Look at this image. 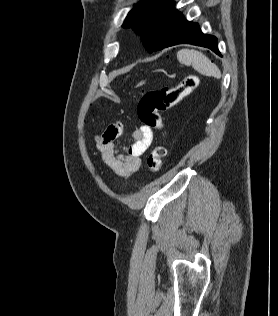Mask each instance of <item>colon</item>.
<instances>
[{
	"label": "colon",
	"instance_id": "colon-1",
	"mask_svg": "<svg viewBox=\"0 0 278 316\" xmlns=\"http://www.w3.org/2000/svg\"><path fill=\"white\" fill-rule=\"evenodd\" d=\"M199 78L194 74L186 75L178 84L160 90L148 91L139 101L137 113L147 127L162 131L164 127L161 112L170 109L188 96L198 86ZM166 156L164 145H157L147 157V166L151 172L162 169Z\"/></svg>",
	"mask_w": 278,
	"mask_h": 316
}]
</instances>
